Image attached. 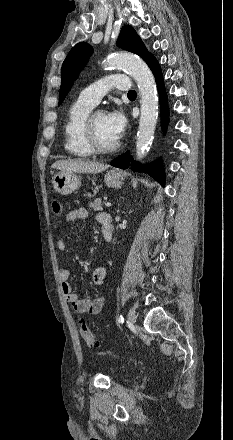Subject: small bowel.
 Returning <instances> with one entry per match:
<instances>
[{
	"label": "small bowel",
	"mask_w": 233,
	"mask_h": 440,
	"mask_svg": "<svg viewBox=\"0 0 233 440\" xmlns=\"http://www.w3.org/2000/svg\"><path fill=\"white\" fill-rule=\"evenodd\" d=\"M110 216L106 213H100L97 215V219L100 223L106 217ZM88 217V212L85 208H76L70 211L67 216V221H77L84 220ZM57 248L59 251H65L67 249L66 241L60 239L57 241ZM107 269L104 266L96 267L92 273L93 282L97 285H100L104 282L106 277ZM59 277L61 280L62 291L66 297L67 302L72 306L74 311L79 314H91L97 315L101 313L104 307L105 299L103 297H97L91 300L81 299L74 291L73 287L70 283L71 271L61 266L59 268Z\"/></svg>",
	"instance_id": "small-bowel-1"
}]
</instances>
